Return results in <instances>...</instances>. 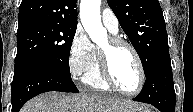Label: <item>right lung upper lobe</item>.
I'll return each mask as SVG.
<instances>
[{
    "mask_svg": "<svg viewBox=\"0 0 193 112\" xmlns=\"http://www.w3.org/2000/svg\"><path fill=\"white\" fill-rule=\"evenodd\" d=\"M77 0H22L18 29L40 23L77 25Z\"/></svg>",
    "mask_w": 193,
    "mask_h": 112,
    "instance_id": "right-lung-upper-lobe-1",
    "label": "right lung upper lobe"
}]
</instances>
